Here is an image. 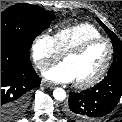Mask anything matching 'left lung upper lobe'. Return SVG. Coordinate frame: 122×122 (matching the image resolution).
<instances>
[{
    "mask_svg": "<svg viewBox=\"0 0 122 122\" xmlns=\"http://www.w3.org/2000/svg\"><path fill=\"white\" fill-rule=\"evenodd\" d=\"M96 20L104 28V30L107 32V34L111 38V41H112V44H113L114 59H113V63L111 65V67H110L109 72H114V71H116L118 69H122V42L98 18Z\"/></svg>",
    "mask_w": 122,
    "mask_h": 122,
    "instance_id": "left-lung-upper-lobe-1",
    "label": "left lung upper lobe"
}]
</instances>
